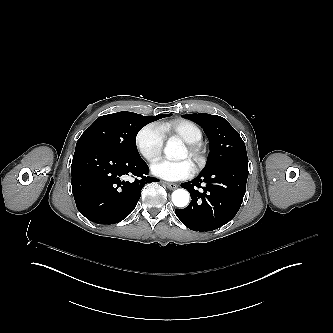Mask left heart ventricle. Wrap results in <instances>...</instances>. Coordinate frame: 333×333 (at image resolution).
Masks as SVG:
<instances>
[{
	"label": "left heart ventricle",
	"mask_w": 333,
	"mask_h": 333,
	"mask_svg": "<svg viewBox=\"0 0 333 333\" xmlns=\"http://www.w3.org/2000/svg\"><path fill=\"white\" fill-rule=\"evenodd\" d=\"M181 159L189 160V161L192 162V160L190 159L189 152H188L187 148H185V151L183 152Z\"/></svg>",
	"instance_id": "b2bd125f"
}]
</instances>
